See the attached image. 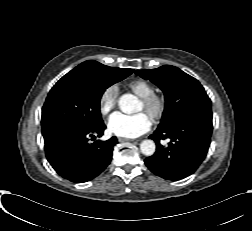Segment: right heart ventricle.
<instances>
[{
  "instance_id": "e07e8e85",
  "label": "right heart ventricle",
  "mask_w": 252,
  "mask_h": 231,
  "mask_svg": "<svg viewBox=\"0 0 252 231\" xmlns=\"http://www.w3.org/2000/svg\"><path fill=\"white\" fill-rule=\"evenodd\" d=\"M128 88L140 98H146L155 93L154 86L150 82L142 79L131 81L128 84Z\"/></svg>"
}]
</instances>
